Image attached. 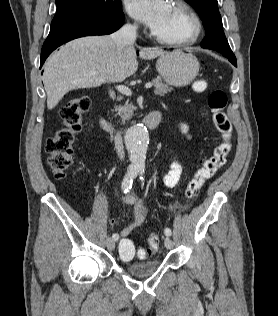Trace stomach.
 <instances>
[{"label": "stomach", "mask_w": 278, "mask_h": 316, "mask_svg": "<svg viewBox=\"0 0 278 316\" xmlns=\"http://www.w3.org/2000/svg\"><path fill=\"white\" fill-rule=\"evenodd\" d=\"M199 67V61L192 53L180 49L164 52L156 63L161 77L175 87L190 84L196 78Z\"/></svg>", "instance_id": "stomach-1"}]
</instances>
